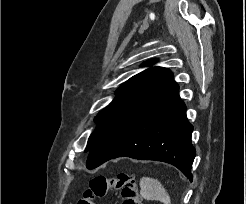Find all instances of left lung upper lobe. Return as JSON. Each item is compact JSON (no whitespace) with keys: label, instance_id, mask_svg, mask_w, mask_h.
<instances>
[{"label":"left lung upper lobe","instance_id":"obj_1","mask_svg":"<svg viewBox=\"0 0 246 204\" xmlns=\"http://www.w3.org/2000/svg\"><path fill=\"white\" fill-rule=\"evenodd\" d=\"M154 60L147 61L151 65ZM173 81L172 72L163 67H151L131 77L116 91L115 99L96 117V130L90 135L85 152L118 119Z\"/></svg>","mask_w":246,"mask_h":204}]
</instances>
